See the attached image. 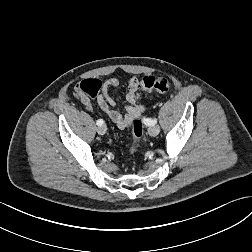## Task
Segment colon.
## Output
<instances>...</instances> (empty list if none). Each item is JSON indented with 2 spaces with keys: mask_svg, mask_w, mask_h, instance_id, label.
<instances>
[{
  "mask_svg": "<svg viewBox=\"0 0 252 252\" xmlns=\"http://www.w3.org/2000/svg\"><path fill=\"white\" fill-rule=\"evenodd\" d=\"M139 84L144 90H155L158 92H166L170 86L166 78L155 76H146L139 80ZM101 87V81L98 79H85L80 83L81 91L90 98L97 96ZM131 125L134 137V142L130 148V152L132 153L139 147V141L143 135V126L139 118L134 119Z\"/></svg>",
  "mask_w": 252,
  "mask_h": 252,
  "instance_id": "1",
  "label": "colon"
}]
</instances>
